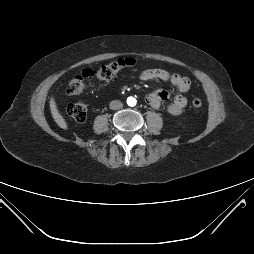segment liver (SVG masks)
<instances>
[{"label": "liver", "instance_id": "6515ba94", "mask_svg": "<svg viewBox=\"0 0 254 254\" xmlns=\"http://www.w3.org/2000/svg\"><path fill=\"white\" fill-rule=\"evenodd\" d=\"M49 103H50L51 114H52L54 121L57 123V125L60 128L66 130L68 128V125H67L65 119L63 118V116L59 113L54 97H51Z\"/></svg>", "mask_w": 254, "mask_h": 254}]
</instances>
